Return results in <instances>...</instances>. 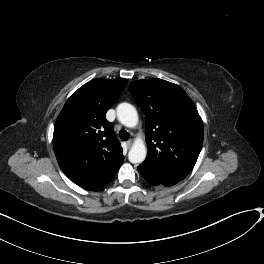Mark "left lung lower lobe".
<instances>
[{
	"label": "left lung lower lobe",
	"instance_id": "0a47b994",
	"mask_svg": "<svg viewBox=\"0 0 264 264\" xmlns=\"http://www.w3.org/2000/svg\"><path fill=\"white\" fill-rule=\"evenodd\" d=\"M140 175L151 185L154 186H172L180 181V179L167 177L161 174H158L142 165L137 167Z\"/></svg>",
	"mask_w": 264,
	"mask_h": 264
}]
</instances>
